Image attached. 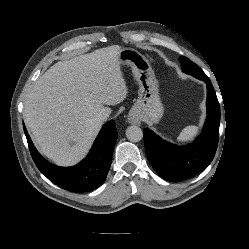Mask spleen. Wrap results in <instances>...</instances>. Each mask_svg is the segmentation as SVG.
Wrapping results in <instances>:
<instances>
[{"label": "spleen", "mask_w": 249, "mask_h": 249, "mask_svg": "<svg viewBox=\"0 0 249 249\" xmlns=\"http://www.w3.org/2000/svg\"><path fill=\"white\" fill-rule=\"evenodd\" d=\"M198 133V127L197 126H187L185 127L180 135L178 136L177 140L179 142H187L191 141Z\"/></svg>", "instance_id": "3e777b00"}]
</instances>
